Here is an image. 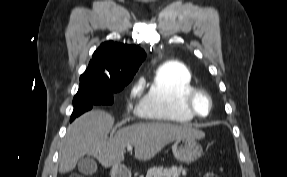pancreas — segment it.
Returning a JSON list of instances; mask_svg holds the SVG:
<instances>
[{
    "label": "pancreas",
    "mask_w": 287,
    "mask_h": 177,
    "mask_svg": "<svg viewBox=\"0 0 287 177\" xmlns=\"http://www.w3.org/2000/svg\"><path fill=\"white\" fill-rule=\"evenodd\" d=\"M186 175V169L173 166L171 168L153 167L147 171L146 177H180Z\"/></svg>",
    "instance_id": "obj_1"
}]
</instances>
